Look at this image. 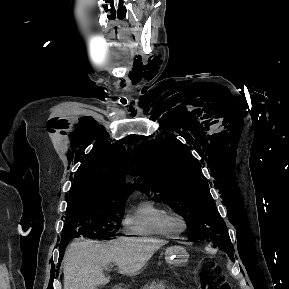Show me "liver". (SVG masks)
Returning <instances> with one entry per match:
<instances>
[{
    "label": "liver",
    "instance_id": "1",
    "mask_svg": "<svg viewBox=\"0 0 289 289\" xmlns=\"http://www.w3.org/2000/svg\"><path fill=\"white\" fill-rule=\"evenodd\" d=\"M166 241L120 237L101 244L78 239L70 244L63 260L64 289H97L109 279L103 267L113 262L123 275H136Z\"/></svg>",
    "mask_w": 289,
    "mask_h": 289
}]
</instances>
